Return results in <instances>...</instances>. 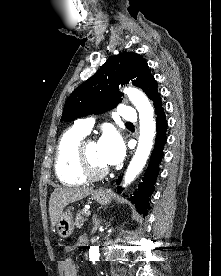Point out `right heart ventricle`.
Returning a JSON list of instances; mask_svg holds the SVG:
<instances>
[{"instance_id":"obj_1","label":"right heart ventricle","mask_w":221,"mask_h":276,"mask_svg":"<svg viewBox=\"0 0 221 276\" xmlns=\"http://www.w3.org/2000/svg\"><path fill=\"white\" fill-rule=\"evenodd\" d=\"M85 136V133L73 127L65 131L59 139L55 169L58 178L65 184L79 185L87 180L81 171L78 159V146Z\"/></svg>"}]
</instances>
